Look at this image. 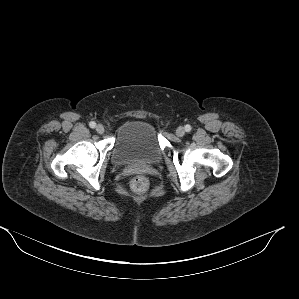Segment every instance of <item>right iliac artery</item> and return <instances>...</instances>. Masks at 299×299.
<instances>
[{"instance_id":"82829eb1","label":"right iliac artery","mask_w":299,"mask_h":299,"mask_svg":"<svg viewBox=\"0 0 299 299\" xmlns=\"http://www.w3.org/2000/svg\"><path fill=\"white\" fill-rule=\"evenodd\" d=\"M89 126H90L91 128H95L96 123H95L94 121H91V122L89 123Z\"/></svg>"}]
</instances>
